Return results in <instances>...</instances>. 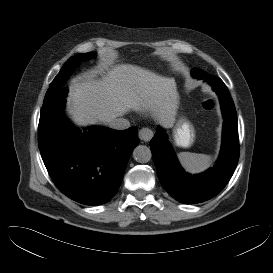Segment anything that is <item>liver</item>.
Listing matches in <instances>:
<instances>
[{"label": "liver", "mask_w": 273, "mask_h": 273, "mask_svg": "<svg viewBox=\"0 0 273 273\" xmlns=\"http://www.w3.org/2000/svg\"><path fill=\"white\" fill-rule=\"evenodd\" d=\"M101 78H75L70 85L69 114L78 126L110 123L130 110L150 112L165 126L176 113L174 79L131 64L106 68Z\"/></svg>", "instance_id": "1"}]
</instances>
